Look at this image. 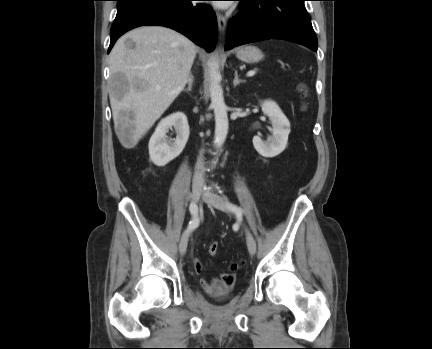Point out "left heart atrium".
I'll return each instance as SVG.
<instances>
[{
	"instance_id": "left-heart-atrium-1",
	"label": "left heart atrium",
	"mask_w": 432,
	"mask_h": 349,
	"mask_svg": "<svg viewBox=\"0 0 432 349\" xmlns=\"http://www.w3.org/2000/svg\"><path fill=\"white\" fill-rule=\"evenodd\" d=\"M218 6H220V7H226V4H225V2H222V3L218 4Z\"/></svg>"
}]
</instances>
